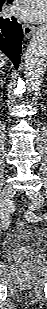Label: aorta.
Here are the masks:
<instances>
[{
	"label": "aorta",
	"instance_id": "762f6f07",
	"mask_svg": "<svg viewBox=\"0 0 47 309\" xmlns=\"http://www.w3.org/2000/svg\"><path fill=\"white\" fill-rule=\"evenodd\" d=\"M47 61V29L39 27L27 47L24 59V78L29 93L39 89Z\"/></svg>",
	"mask_w": 47,
	"mask_h": 309
}]
</instances>
